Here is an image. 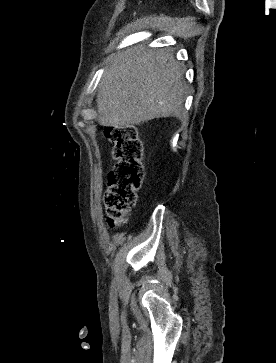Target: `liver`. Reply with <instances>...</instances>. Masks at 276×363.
I'll return each instance as SVG.
<instances>
[{
    "label": "liver",
    "mask_w": 276,
    "mask_h": 363,
    "mask_svg": "<svg viewBox=\"0 0 276 363\" xmlns=\"http://www.w3.org/2000/svg\"><path fill=\"white\" fill-rule=\"evenodd\" d=\"M173 54L143 47L118 55L107 66L97 93L98 122L106 127L139 125L183 116L187 86Z\"/></svg>",
    "instance_id": "liver-1"
}]
</instances>
